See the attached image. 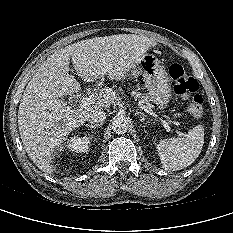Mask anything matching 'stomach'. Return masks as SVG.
<instances>
[{"label":"stomach","mask_w":233,"mask_h":233,"mask_svg":"<svg viewBox=\"0 0 233 233\" xmlns=\"http://www.w3.org/2000/svg\"><path fill=\"white\" fill-rule=\"evenodd\" d=\"M142 75L150 100L159 109L166 108L171 98V84L164 66L158 58L150 53L144 54L139 62L130 70V77Z\"/></svg>","instance_id":"1"}]
</instances>
